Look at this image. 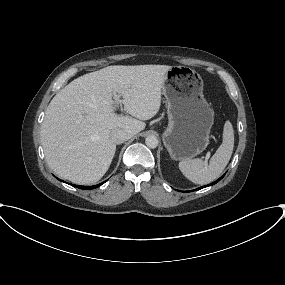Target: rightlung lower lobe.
Masks as SVG:
<instances>
[{
	"instance_id": "obj_1",
	"label": "right lung lower lobe",
	"mask_w": 285,
	"mask_h": 285,
	"mask_svg": "<svg viewBox=\"0 0 285 285\" xmlns=\"http://www.w3.org/2000/svg\"><path fill=\"white\" fill-rule=\"evenodd\" d=\"M103 183L98 184V185H94V186H79V185H73V184H71V185L74 186V187L80 188V189L90 190V189H94V188H97V187L101 186Z\"/></svg>"
}]
</instances>
